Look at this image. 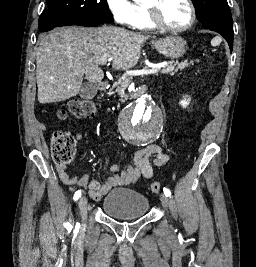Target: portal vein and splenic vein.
<instances>
[{
    "mask_svg": "<svg viewBox=\"0 0 256 267\" xmlns=\"http://www.w3.org/2000/svg\"><path fill=\"white\" fill-rule=\"evenodd\" d=\"M108 62H110V60H108ZM99 64H101V66H104V64H107V62H104V60H101ZM166 68H167L166 64H160V68H157V70L153 68H141V70L133 69L132 72H129V70H126V74H129V76H137V74L139 76H142L143 74H156L157 71H164V69Z\"/></svg>",
    "mask_w": 256,
    "mask_h": 267,
    "instance_id": "18ae733b",
    "label": "portal vein and splenic vein"
}]
</instances>
